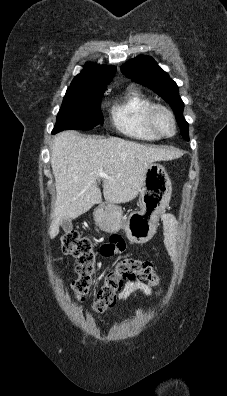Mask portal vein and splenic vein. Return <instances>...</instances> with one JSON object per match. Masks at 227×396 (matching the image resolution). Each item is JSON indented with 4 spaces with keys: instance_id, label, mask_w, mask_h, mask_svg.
Listing matches in <instances>:
<instances>
[{
    "instance_id": "portal-vein-and-splenic-vein-1",
    "label": "portal vein and splenic vein",
    "mask_w": 227,
    "mask_h": 396,
    "mask_svg": "<svg viewBox=\"0 0 227 396\" xmlns=\"http://www.w3.org/2000/svg\"><path fill=\"white\" fill-rule=\"evenodd\" d=\"M98 175L99 176H105L104 173H103V169L102 168L98 170Z\"/></svg>"
}]
</instances>
